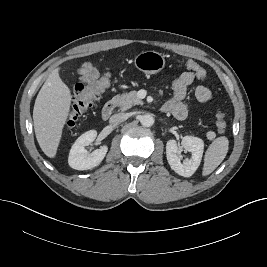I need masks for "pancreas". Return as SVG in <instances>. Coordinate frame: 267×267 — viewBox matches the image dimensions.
<instances>
[{
	"label": "pancreas",
	"instance_id": "pancreas-1",
	"mask_svg": "<svg viewBox=\"0 0 267 267\" xmlns=\"http://www.w3.org/2000/svg\"><path fill=\"white\" fill-rule=\"evenodd\" d=\"M115 106L120 107L122 111L131 108L133 105L142 104L143 102L137 97L136 91H131L126 94H118L112 98Z\"/></svg>",
	"mask_w": 267,
	"mask_h": 267
}]
</instances>
